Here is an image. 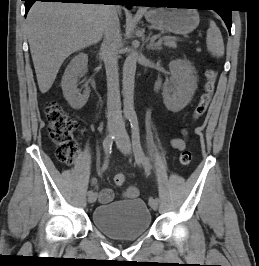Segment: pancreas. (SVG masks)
<instances>
[{
	"instance_id": "1",
	"label": "pancreas",
	"mask_w": 259,
	"mask_h": 266,
	"mask_svg": "<svg viewBox=\"0 0 259 266\" xmlns=\"http://www.w3.org/2000/svg\"><path fill=\"white\" fill-rule=\"evenodd\" d=\"M164 40V45L171 47V48H175L176 47V42L173 40H168V39H163Z\"/></svg>"
}]
</instances>
